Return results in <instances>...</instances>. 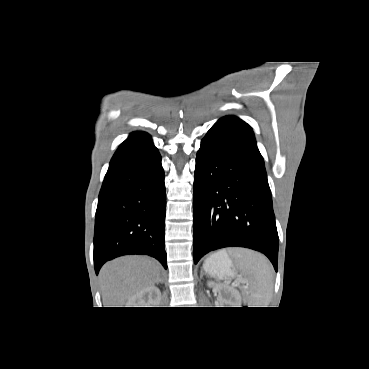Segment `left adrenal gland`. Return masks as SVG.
I'll return each instance as SVG.
<instances>
[{"label":"left adrenal gland","mask_w":369,"mask_h":369,"mask_svg":"<svg viewBox=\"0 0 369 369\" xmlns=\"http://www.w3.org/2000/svg\"><path fill=\"white\" fill-rule=\"evenodd\" d=\"M203 275H204V272H203V270H201V275H200L201 278L203 277Z\"/></svg>","instance_id":"left-adrenal-gland-1"}]
</instances>
